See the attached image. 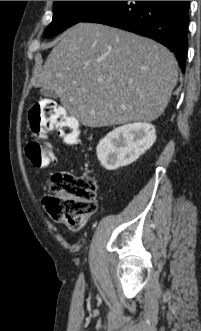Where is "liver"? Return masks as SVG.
Wrapping results in <instances>:
<instances>
[{"mask_svg": "<svg viewBox=\"0 0 201 331\" xmlns=\"http://www.w3.org/2000/svg\"><path fill=\"white\" fill-rule=\"evenodd\" d=\"M177 78L174 55L154 40L78 23L52 49L34 86L55 90L83 125L104 127L157 119Z\"/></svg>", "mask_w": 201, "mask_h": 331, "instance_id": "6515ba94", "label": "liver"}]
</instances>
